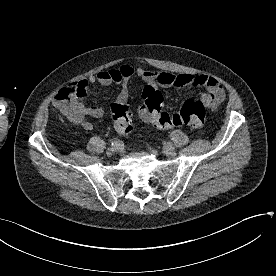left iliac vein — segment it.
<instances>
[{"label": "left iliac vein", "instance_id": "left-iliac-vein-1", "mask_svg": "<svg viewBox=\"0 0 276 276\" xmlns=\"http://www.w3.org/2000/svg\"><path fill=\"white\" fill-rule=\"evenodd\" d=\"M164 153H165L168 157H175V156H176V151L174 150V148H171V149H164Z\"/></svg>", "mask_w": 276, "mask_h": 276}]
</instances>
